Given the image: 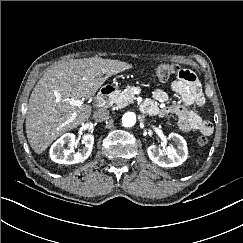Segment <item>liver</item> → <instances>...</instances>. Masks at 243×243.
Segmentation results:
<instances>
[{"mask_svg": "<svg viewBox=\"0 0 243 243\" xmlns=\"http://www.w3.org/2000/svg\"><path fill=\"white\" fill-rule=\"evenodd\" d=\"M131 64L100 57L70 59L51 66L34 87L26 113V134L35 153H43L63 133L78 127L92 107L71 105L73 99L92 97L112 75Z\"/></svg>", "mask_w": 243, "mask_h": 243, "instance_id": "liver-1", "label": "liver"}]
</instances>
